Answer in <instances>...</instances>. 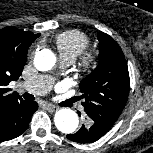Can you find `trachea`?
<instances>
[{
  "mask_svg": "<svg viewBox=\"0 0 153 153\" xmlns=\"http://www.w3.org/2000/svg\"><path fill=\"white\" fill-rule=\"evenodd\" d=\"M22 96L25 100H28V101H32V100L35 99V97L32 94H29V93H24Z\"/></svg>",
  "mask_w": 153,
  "mask_h": 153,
  "instance_id": "3493384b",
  "label": "trachea"
}]
</instances>
